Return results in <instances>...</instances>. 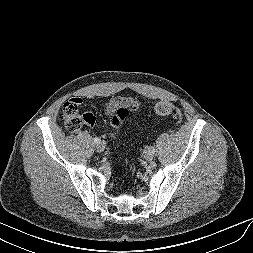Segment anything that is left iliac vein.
Wrapping results in <instances>:
<instances>
[{"label":"left iliac vein","mask_w":253,"mask_h":253,"mask_svg":"<svg viewBox=\"0 0 253 253\" xmlns=\"http://www.w3.org/2000/svg\"><path fill=\"white\" fill-rule=\"evenodd\" d=\"M144 158L147 161H152L154 158V153L151 152L149 149L144 152Z\"/></svg>","instance_id":"obj_1"}]
</instances>
